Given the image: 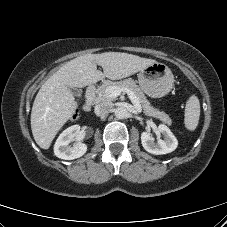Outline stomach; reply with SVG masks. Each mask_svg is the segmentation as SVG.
I'll list each match as a JSON object with an SVG mask.
<instances>
[{
  "mask_svg": "<svg viewBox=\"0 0 227 227\" xmlns=\"http://www.w3.org/2000/svg\"><path fill=\"white\" fill-rule=\"evenodd\" d=\"M138 83L146 95L159 98L171 91L174 85V76L168 66L156 62L139 72Z\"/></svg>",
  "mask_w": 227,
  "mask_h": 227,
  "instance_id": "stomach-1",
  "label": "stomach"
}]
</instances>
